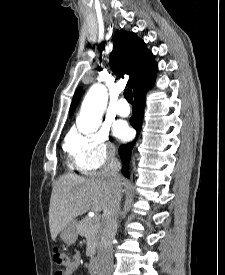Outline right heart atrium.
<instances>
[{
  "mask_svg": "<svg viewBox=\"0 0 225 275\" xmlns=\"http://www.w3.org/2000/svg\"><path fill=\"white\" fill-rule=\"evenodd\" d=\"M66 149L75 166L83 172L101 168L115 155L114 146L106 129L90 134L71 132L66 140Z\"/></svg>",
  "mask_w": 225,
  "mask_h": 275,
  "instance_id": "obj_1",
  "label": "right heart atrium"
}]
</instances>
